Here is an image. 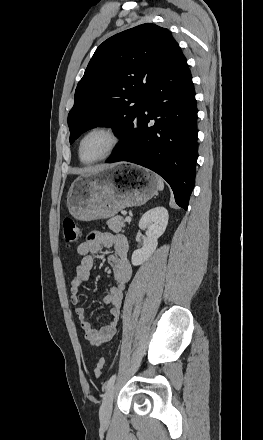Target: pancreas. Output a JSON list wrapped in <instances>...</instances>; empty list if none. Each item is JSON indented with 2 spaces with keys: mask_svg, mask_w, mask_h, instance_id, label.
Here are the masks:
<instances>
[{
  "mask_svg": "<svg viewBox=\"0 0 263 440\" xmlns=\"http://www.w3.org/2000/svg\"><path fill=\"white\" fill-rule=\"evenodd\" d=\"M108 227L115 233L123 231L125 223L123 217L115 216L107 221Z\"/></svg>",
  "mask_w": 263,
  "mask_h": 440,
  "instance_id": "pancreas-1",
  "label": "pancreas"
}]
</instances>
